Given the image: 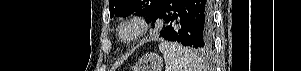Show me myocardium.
Returning a JSON list of instances; mask_svg holds the SVG:
<instances>
[{"label":"myocardium","mask_w":301,"mask_h":71,"mask_svg":"<svg viewBox=\"0 0 301 71\" xmlns=\"http://www.w3.org/2000/svg\"><path fill=\"white\" fill-rule=\"evenodd\" d=\"M149 29L148 21L141 16H132L123 21L118 28L121 42L130 44L140 39Z\"/></svg>","instance_id":"myocardium-1"}]
</instances>
